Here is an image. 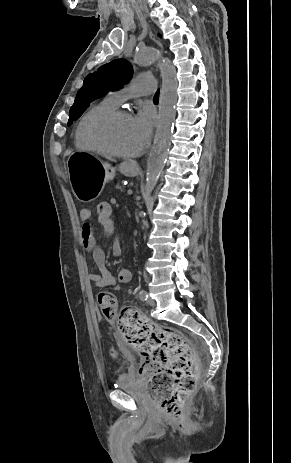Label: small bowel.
Wrapping results in <instances>:
<instances>
[{
    "label": "small bowel",
    "instance_id": "1",
    "mask_svg": "<svg viewBox=\"0 0 291 463\" xmlns=\"http://www.w3.org/2000/svg\"><path fill=\"white\" fill-rule=\"evenodd\" d=\"M113 214V212H112ZM92 217L91 210L88 208H83L80 210V220L82 222L80 236L84 246L90 251L98 273H88V279L95 284L98 288L111 287L116 284L118 281L121 284H127L132 280V272L129 269H121L118 273L117 278L108 270L106 266V257L103 249L96 243L94 238V232L90 225V220ZM112 217V216H110ZM105 233L112 234L115 230V225L113 222L112 226H102ZM113 243V253L116 256L121 254V240L118 238L119 234H114Z\"/></svg>",
    "mask_w": 291,
    "mask_h": 463
}]
</instances>
